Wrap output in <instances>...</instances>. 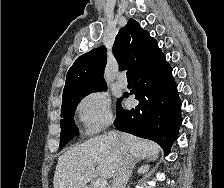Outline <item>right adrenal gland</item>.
<instances>
[{
    "mask_svg": "<svg viewBox=\"0 0 224 188\" xmlns=\"http://www.w3.org/2000/svg\"><path fill=\"white\" fill-rule=\"evenodd\" d=\"M144 158H136L133 160L132 162V168H131V174L133 173V169L135 168L136 164L140 161L143 160ZM147 161H151V160H156V157L154 156H150V157H146Z\"/></svg>",
    "mask_w": 224,
    "mask_h": 188,
    "instance_id": "2a0ac1e0",
    "label": "right adrenal gland"
}]
</instances>
